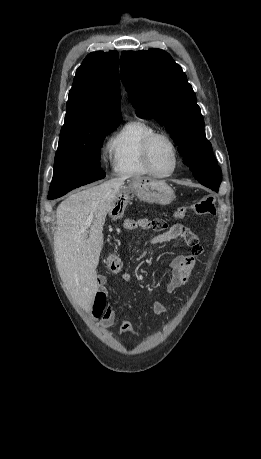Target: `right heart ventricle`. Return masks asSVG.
<instances>
[{"mask_svg":"<svg viewBox=\"0 0 261 459\" xmlns=\"http://www.w3.org/2000/svg\"><path fill=\"white\" fill-rule=\"evenodd\" d=\"M155 132L156 129L150 123L134 120L113 137L109 151L117 175L132 177L150 174L143 161L142 149L146 138Z\"/></svg>","mask_w":261,"mask_h":459,"instance_id":"e07e8e85","label":"right heart ventricle"}]
</instances>
